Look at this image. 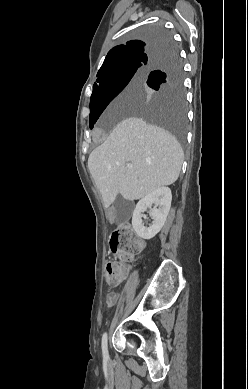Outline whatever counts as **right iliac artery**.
Wrapping results in <instances>:
<instances>
[{
	"instance_id": "1",
	"label": "right iliac artery",
	"mask_w": 248,
	"mask_h": 389,
	"mask_svg": "<svg viewBox=\"0 0 248 389\" xmlns=\"http://www.w3.org/2000/svg\"><path fill=\"white\" fill-rule=\"evenodd\" d=\"M102 352H103L104 362H107L109 359V356H108L107 334L106 333H104L103 337H102Z\"/></svg>"
}]
</instances>
